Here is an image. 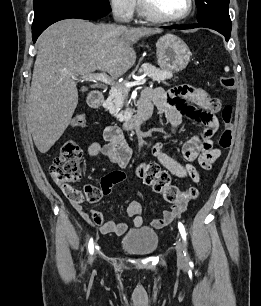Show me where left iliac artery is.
I'll list each match as a JSON object with an SVG mask.
<instances>
[{"label": "left iliac artery", "mask_w": 261, "mask_h": 306, "mask_svg": "<svg viewBox=\"0 0 261 306\" xmlns=\"http://www.w3.org/2000/svg\"><path fill=\"white\" fill-rule=\"evenodd\" d=\"M178 229H179V232L181 234V237H182L184 243L186 244V231H185L184 225L181 222H178ZM185 255H186V253H185Z\"/></svg>", "instance_id": "obj_1"}]
</instances>
